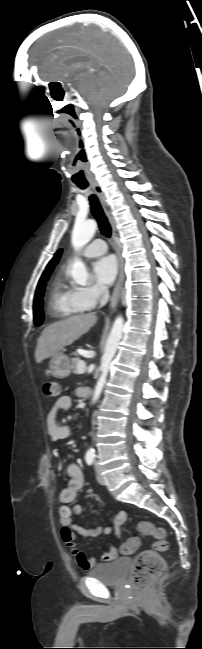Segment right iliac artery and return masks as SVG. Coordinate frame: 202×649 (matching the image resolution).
I'll return each mask as SVG.
<instances>
[{"instance_id":"82829eb1","label":"right iliac artery","mask_w":202,"mask_h":649,"mask_svg":"<svg viewBox=\"0 0 202 649\" xmlns=\"http://www.w3.org/2000/svg\"><path fill=\"white\" fill-rule=\"evenodd\" d=\"M85 459H86V462H87L88 465H92L93 462H94V456L93 455H87Z\"/></svg>"}]
</instances>
